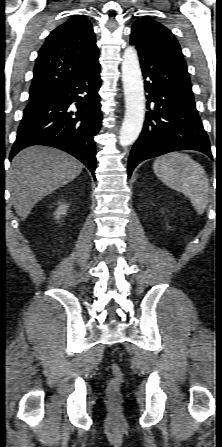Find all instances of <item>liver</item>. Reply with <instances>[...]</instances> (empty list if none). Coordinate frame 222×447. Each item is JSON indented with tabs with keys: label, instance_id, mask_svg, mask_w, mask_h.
<instances>
[{
	"label": "liver",
	"instance_id": "liver-1",
	"mask_svg": "<svg viewBox=\"0 0 222 447\" xmlns=\"http://www.w3.org/2000/svg\"><path fill=\"white\" fill-rule=\"evenodd\" d=\"M83 165L58 149L33 146L20 151L8 171V187L18 216L24 220L47 195L74 180Z\"/></svg>",
	"mask_w": 222,
	"mask_h": 447
}]
</instances>
